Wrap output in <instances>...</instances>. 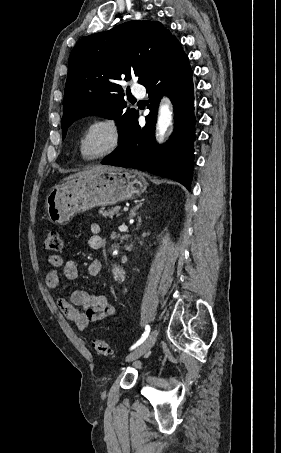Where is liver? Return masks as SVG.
Listing matches in <instances>:
<instances>
[{"label": "liver", "mask_w": 281, "mask_h": 453, "mask_svg": "<svg viewBox=\"0 0 281 453\" xmlns=\"http://www.w3.org/2000/svg\"><path fill=\"white\" fill-rule=\"evenodd\" d=\"M115 166H105V164H99V166H94L91 170H81V172H75V174H70L66 176L63 180H70V178H84V176H89V174H96V172H104V170H113Z\"/></svg>", "instance_id": "6515ba94"}]
</instances>
